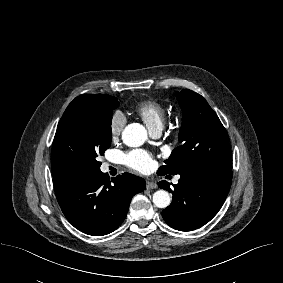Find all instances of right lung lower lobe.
Returning a JSON list of instances; mask_svg holds the SVG:
<instances>
[{"label": "right lung lower lobe", "mask_w": 283, "mask_h": 283, "mask_svg": "<svg viewBox=\"0 0 283 283\" xmlns=\"http://www.w3.org/2000/svg\"><path fill=\"white\" fill-rule=\"evenodd\" d=\"M145 188L143 178L123 173L113 178L97 171L55 190L67 220L83 233L102 236L124 221L132 197Z\"/></svg>", "instance_id": "98d812e1"}]
</instances>
